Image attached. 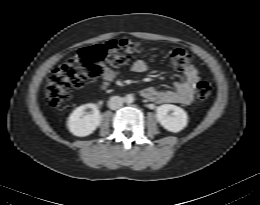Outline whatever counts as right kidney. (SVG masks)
I'll return each mask as SVG.
<instances>
[{"label":"right kidney","mask_w":260,"mask_h":205,"mask_svg":"<svg viewBox=\"0 0 260 205\" xmlns=\"http://www.w3.org/2000/svg\"><path fill=\"white\" fill-rule=\"evenodd\" d=\"M92 108L91 114H86L85 110ZM101 114L95 104H86L77 107L69 116L67 126L69 131L79 137L88 136L93 133L101 123Z\"/></svg>","instance_id":"obj_1"}]
</instances>
